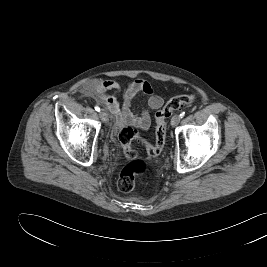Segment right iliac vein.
Wrapping results in <instances>:
<instances>
[{
  "mask_svg": "<svg viewBox=\"0 0 267 267\" xmlns=\"http://www.w3.org/2000/svg\"><path fill=\"white\" fill-rule=\"evenodd\" d=\"M99 116L103 122H107L109 120L108 113L105 110H101L99 112Z\"/></svg>",
  "mask_w": 267,
  "mask_h": 267,
  "instance_id": "right-iliac-vein-1",
  "label": "right iliac vein"
}]
</instances>
